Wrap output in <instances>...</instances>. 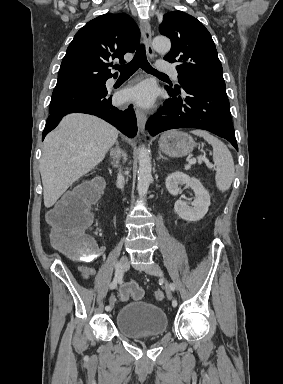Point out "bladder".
I'll return each mask as SVG.
<instances>
[{"instance_id":"bladder-1","label":"bladder","mask_w":283,"mask_h":384,"mask_svg":"<svg viewBox=\"0 0 283 384\" xmlns=\"http://www.w3.org/2000/svg\"><path fill=\"white\" fill-rule=\"evenodd\" d=\"M115 324L125 338L163 336L168 327V313L158 305L138 299L121 306Z\"/></svg>"}]
</instances>
